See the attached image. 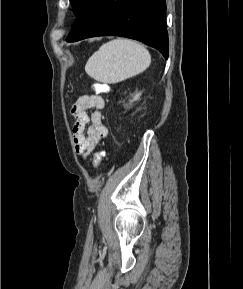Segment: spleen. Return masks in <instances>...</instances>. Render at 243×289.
I'll list each match as a JSON object with an SVG mask.
<instances>
[{
	"instance_id": "spleen-1",
	"label": "spleen",
	"mask_w": 243,
	"mask_h": 289,
	"mask_svg": "<svg viewBox=\"0 0 243 289\" xmlns=\"http://www.w3.org/2000/svg\"><path fill=\"white\" fill-rule=\"evenodd\" d=\"M151 63L149 51L130 39L103 44L87 61L86 73L98 82L115 84L145 71Z\"/></svg>"
}]
</instances>
